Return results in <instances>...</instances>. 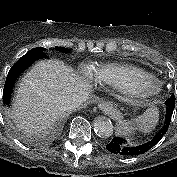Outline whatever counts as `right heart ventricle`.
Wrapping results in <instances>:
<instances>
[{
    "label": "right heart ventricle",
    "mask_w": 177,
    "mask_h": 177,
    "mask_svg": "<svg viewBox=\"0 0 177 177\" xmlns=\"http://www.w3.org/2000/svg\"><path fill=\"white\" fill-rule=\"evenodd\" d=\"M98 82L114 88H121L124 78L128 75H150L140 67L131 64L106 63L99 65L94 70Z\"/></svg>",
    "instance_id": "e07e8e85"
}]
</instances>
